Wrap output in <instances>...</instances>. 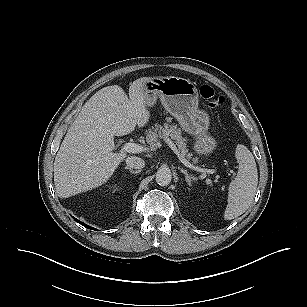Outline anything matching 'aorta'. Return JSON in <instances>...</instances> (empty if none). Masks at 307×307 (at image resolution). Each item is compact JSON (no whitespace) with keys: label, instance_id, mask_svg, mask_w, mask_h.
<instances>
[{"label":"aorta","instance_id":"1","mask_svg":"<svg viewBox=\"0 0 307 307\" xmlns=\"http://www.w3.org/2000/svg\"><path fill=\"white\" fill-rule=\"evenodd\" d=\"M172 179L171 170L168 167H161L156 173V182L160 186H167Z\"/></svg>","mask_w":307,"mask_h":307}]
</instances>
